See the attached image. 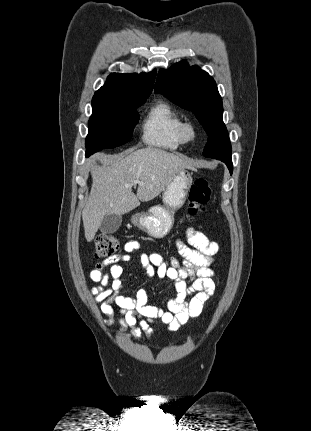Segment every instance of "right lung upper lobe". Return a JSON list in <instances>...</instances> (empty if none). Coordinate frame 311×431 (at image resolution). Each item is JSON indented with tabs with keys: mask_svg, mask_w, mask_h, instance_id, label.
Here are the masks:
<instances>
[{
	"mask_svg": "<svg viewBox=\"0 0 311 431\" xmlns=\"http://www.w3.org/2000/svg\"><path fill=\"white\" fill-rule=\"evenodd\" d=\"M155 71L149 74L112 73L95 96L148 97L153 89Z\"/></svg>",
	"mask_w": 311,
	"mask_h": 431,
	"instance_id": "cb5924a9",
	"label": "right lung upper lobe"
}]
</instances>
